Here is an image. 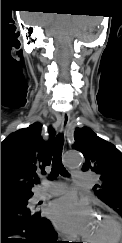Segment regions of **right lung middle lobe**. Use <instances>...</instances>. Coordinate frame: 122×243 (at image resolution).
Here are the masks:
<instances>
[{"mask_svg":"<svg viewBox=\"0 0 122 243\" xmlns=\"http://www.w3.org/2000/svg\"><path fill=\"white\" fill-rule=\"evenodd\" d=\"M26 197H22V198H15V199H9V200H6V201H9V202H21V201H25ZM4 202V201H2Z\"/></svg>","mask_w":122,"mask_h":243,"instance_id":"dd1d6c3e","label":"right lung middle lobe"}]
</instances>
